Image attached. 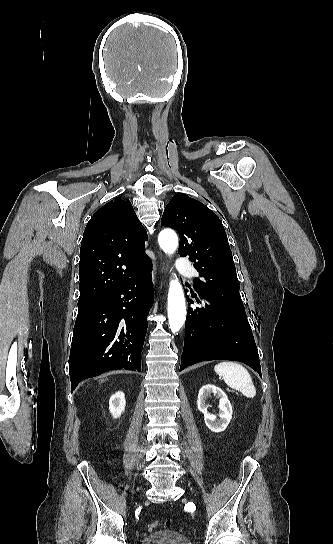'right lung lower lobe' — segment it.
Here are the masks:
<instances>
[{
    "label": "right lung lower lobe",
    "mask_w": 333,
    "mask_h": 544,
    "mask_svg": "<svg viewBox=\"0 0 333 544\" xmlns=\"http://www.w3.org/2000/svg\"><path fill=\"white\" fill-rule=\"evenodd\" d=\"M152 264L98 306L78 313L69 357L72 391L108 370L141 371L147 316L153 304Z\"/></svg>",
    "instance_id": "98d812e1"
}]
</instances>
